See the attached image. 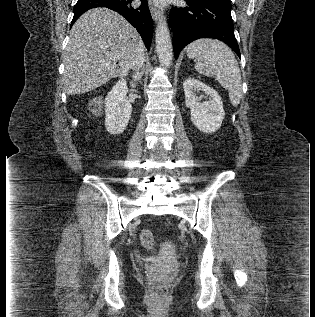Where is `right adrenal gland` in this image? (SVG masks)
I'll use <instances>...</instances> for the list:
<instances>
[{"mask_svg":"<svg viewBox=\"0 0 315 317\" xmlns=\"http://www.w3.org/2000/svg\"><path fill=\"white\" fill-rule=\"evenodd\" d=\"M143 74H144V72H143V70H141L140 72H136V73H134V75H133V80L135 81V82H139V83H142L141 82V79H142V77H143Z\"/></svg>","mask_w":315,"mask_h":317,"instance_id":"2a0ac1e0","label":"right adrenal gland"}]
</instances>
